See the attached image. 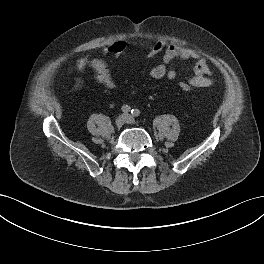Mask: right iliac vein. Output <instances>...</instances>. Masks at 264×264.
Masks as SVG:
<instances>
[{"instance_id": "1", "label": "right iliac vein", "mask_w": 264, "mask_h": 264, "mask_svg": "<svg viewBox=\"0 0 264 264\" xmlns=\"http://www.w3.org/2000/svg\"><path fill=\"white\" fill-rule=\"evenodd\" d=\"M126 121V116L125 115H120L117 117L115 120V124L117 127H121Z\"/></svg>"}]
</instances>
